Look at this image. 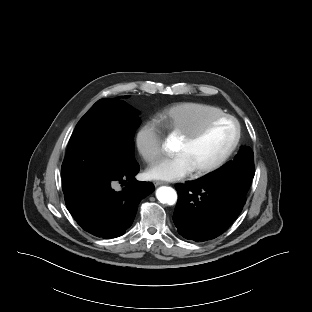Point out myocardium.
Instances as JSON below:
<instances>
[{
	"instance_id": "1",
	"label": "myocardium",
	"mask_w": 312,
	"mask_h": 312,
	"mask_svg": "<svg viewBox=\"0 0 312 312\" xmlns=\"http://www.w3.org/2000/svg\"><path fill=\"white\" fill-rule=\"evenodd\" d=\"M224 119L231 120L232 122H234V124L236 126L235 139L232 142L231 146L228 148V150L219 159H217L215 162H213L212 164H210L208 166L194 170V173L197 176L206 175L208 173H211V172L217 170L231 157V155L236 150V148L240 142V139H241V135H242L241 124H240L239 120L236 117H234L233 115L222 113V114H219V115H216V116H213V117L207 119L196 130L182 135V138L186 142H195L206 133V131L210 128L211 125H213L214 123H216L220 120H224Z\"/></svg>"
}]
</instances>
